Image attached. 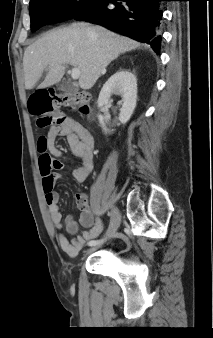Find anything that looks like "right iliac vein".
Segmentation results:
<instances>
[{"mask_svg":"<svg viewBox=\"0 0 213 338\" xmlns=\"http://www.w3.org/2000/svg\"><path fill=\"white\" fill-rule=\"evenodd\" d=\"M121 221V214L119 212V210L117 208H113L111 211V218H110V224L108 227V230L106 232V235L104 237V241H107L110 237H112L114 235V233L117 231L119 224ZM102 243L98 244V246L102 245ZM97 246H94L92 248H90V251L96 249Z\"/></svg>","mask_w":213,"mask_h":338,"instance_id":"right-iliac-vein-1","label":"right iliac vein"}]
</instances>
